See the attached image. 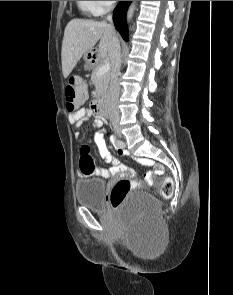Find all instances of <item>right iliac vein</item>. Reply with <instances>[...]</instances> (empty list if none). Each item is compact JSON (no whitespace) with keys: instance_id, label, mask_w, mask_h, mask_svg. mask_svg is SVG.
<instances>
[{"instance_id":"1","label":"right iliac vein","mask_w":233,"mask_h":295,"mask_svg":"<svg viewBox=\"0 0 233 295\" xmlns=\"http://www.w3.org/2000/svg\"><path fill=\"white\" fill-rule=\"evenodd\" d=\"M114 131H115L116 134L121 135V129H120L119 126H115Z\"/></svg>"}]
</instances>
